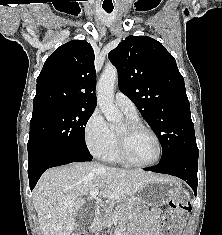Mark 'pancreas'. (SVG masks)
Segmentation results:
<instances>
[{"label": "pancreas", "instance_id": "cf45deb5", "mask_svg": "<svg viewBox=\"0 0 222 235\" xmlns=\"http://www.w3.org/2000/svg\"><path fill=\"white\" fill-rule=\"evenodd\" d=\"M134 206L135 202L132 199L121 202H112L109 204L105 214L93 223L92 229L96 232H100L111 224L115 217L119 218L120 216H132L136 211Z\"/></svg>", "mask_w": 222, "mask_h": 235}]
</instances>
